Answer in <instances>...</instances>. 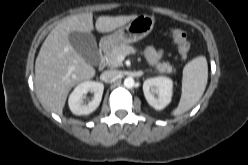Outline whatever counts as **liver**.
Segmentation results:
<instances>
[{
  "instance_id": "1",
  "label": "liver",
  "mask_w": 248,
  "mask_h": 165,
  "mask_svg": "<svg viewBox=\"0 0 248 165\" xmlns=\"http://www.w3.org/2000/svg\"><path fill=\"white\" fill-rule=\"evenodd\" d=\"M136 17L101 16L96 20L95 29L101 33L111 32ZM93 29L91 12L77 14L62 20L45 39L35 62V86L45 109L61 115L71 88L94 77L95 69L69 42L70 32L90 33Z\"/></svg>"
}]
</instances>
